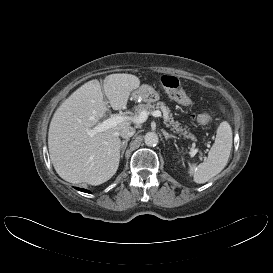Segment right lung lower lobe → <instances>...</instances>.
<instances>
[{
  "label": "right lung lower lobe",
  "instance_id": "98d812e1",
  "mask_svg": "<svg viewBox=\"0 0 273 273\" xmlns=\"http://www.w3.org/2000/svg\"><path fill=\"white\" fill-rule=\"evenodd\" d=\"M77 190H80L82 192H86V193H89V191L85 190V189H80V188H76Z\"/></svg>",
  "mask_w": 273,
  "mask_h": 273
}]
</instances>
